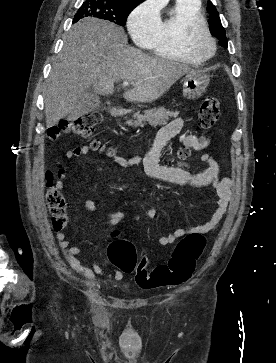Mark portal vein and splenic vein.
<instances>
[{"mask_svg": "<svg viewBox=\"0 0 276 363\" xmlns=\"http://www.w3.org/2000/svg\"><path fill=\"white\" fill-rule=\"evenodd\" d=\"M129 85L134 86L135 84H134V83H129V82H127V81H124V82H123V86H124V87H128Z\"/></svg>", "mask_w": 276, "mask_h": 363, "instance_id": "1", "label": "portal vein and splenic vein"}]
</instances>
